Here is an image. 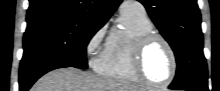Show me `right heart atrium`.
I'll use <instances>...</instances> for the list:
<instances>
[{"instance_id": "d8ad5b80", "label": "right heart atrium", "mask_w": 220, "mask_h": 91, "mask_svg": "<svg viewBox=\"0 0 220 91\" xmlns=\"http://www.w3.org/2000/svg\"><path fill=\"white\" fill-rule=\"evenodd\" d=\"M105 35V27L98 28L87 40L85 50L88 56H92L100 47Z\"/></svg>"}]
</instances>
